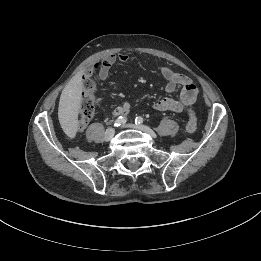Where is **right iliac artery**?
I'll return each instance as SVG.
<instances>
[{"instance_id": "right-iliac-artery-1", "label": "right iliac artery", "mask_w": 261, "mask_h": 261, "mask_svg": "<svg viewBox=\"0 0 261 261\" xmlns=\"http://www.w3.org/2000/svg\"><path fill=\"white\" fill-rule=\"evenodd\" d=\"M126 121H127V118L120 116V117H118V118L115 120L114 126H115V127H119V126L125 124Z\"/></svg>"}]
</instances>
